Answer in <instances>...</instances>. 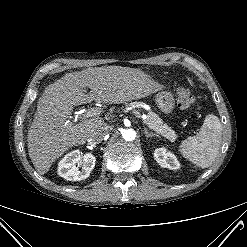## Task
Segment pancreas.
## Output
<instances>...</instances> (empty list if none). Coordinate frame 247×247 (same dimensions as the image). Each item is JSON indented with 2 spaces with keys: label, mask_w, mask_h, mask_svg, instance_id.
Instances as JSON below:
<instances>
[{
  "label": "pancreas",
  "mask_w": 247,
  "mask_h": 247,
  "mask_svg": "<svg viewBox=\"0 0 247 247\" xmlns=\"http://www.w3.org/2000/svg\"><path fill=\"white\" fill-rule=\"evenodd\" d=\"M143 122L159 136L166 138L167 140L174 142L177 139V135L162 119L153 111H149Z\"/></svg>",
  "instance_id": "cf45deb5"
}]
</instances>
